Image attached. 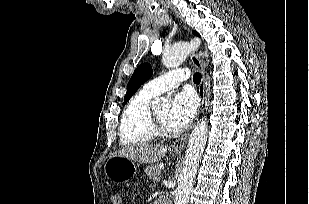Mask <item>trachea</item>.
Wrapping results in <instances>:
<instances>
[{
	"mask_svg": "<svg viewBox=\"0 0 309 204\" xmlns=\"http://www.w3.org/2000/svg\"><path fill=\"white\" fill-rule=\"evenodd\" d=\"M201 74L199 72H196L194 75H193V81L194 83H197L199 84L201 82Z\"/></svg>",
	"mask_w": 309,
	"mask_h": 204,
	"instance_id": "obj_1",
	"label": "trachea"
}]
</instances>
